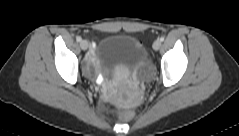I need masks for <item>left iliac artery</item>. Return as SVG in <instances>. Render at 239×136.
<instances>
[{"label":"left iliac artery","instance_id":"44dca946","mask_svg":"<svg viewBox=\"0 0 239 136\" xmlns=\"http://www.w3.org/2000/svg\"><path fill=\"white\" fill-rule=\"evenodd\" d=\"M160 41L163 42L164 41V37H160Z\"/></svg>","mask_w":239,"mask_h":136}]
</instances>
